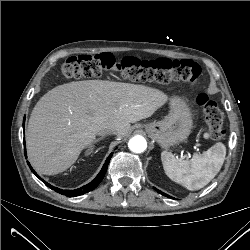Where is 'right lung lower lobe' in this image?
Listing matches in <instances>:
<instances>
[{
    "label": "right lung lower lobe",
    "mask_w": 250,
    "mask_h": 250,
    "mask_svg": "<svg viewBox=\"0 0 250 250\" xmlns=\"http://www.w3.org/2000/svg\"><path fill=\"white\" fill-rule=\"evenodd\" d=\"M112 154L111 153L108 158L106 159V162L105 164L103 165L101 171L99 172V174L96 176V178L91 181L89 184L87 185H84L78 189H74V190H62V189H59V188H56L50 184H48L47 182H45L43 179H41V177H39L36 172L32 169V167L30 166V164L28 163V165L30 166V169L31 171L42 181L44 182L45 185H47L49 188L53 189L54 191L60 193V194H63L67 197H75V196H79V195H82V194H85L91 190H93L94 188H96L99 183L102 181V179L104 178L105 176V173H106V170H107V167H108V164H109V161L112 157ZM25 156H26V149H25Z\"/></svg>",
    "instance_id": "obj_1"
}]
</instances>
